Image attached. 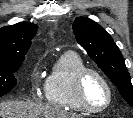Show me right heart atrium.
Returning <instances> with one entry per match:
<instances>
[{"mask_svg":"<svg viewBox=\"0 0 133 118\" xmlns=\"http://www.w3.org/2000/svg\"><path fill=\"white\" fill-rule=\"evenodd\" d=\"M33 77H34L33 90H34V93L38 95L45 88V84L36 68L33 70Z\"/></svg>","mask_w":133,"mask_h":118,"instance_id":"1","label":"right heart atrium"}]
</instances>
